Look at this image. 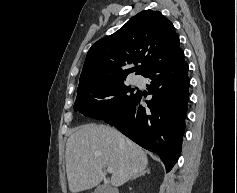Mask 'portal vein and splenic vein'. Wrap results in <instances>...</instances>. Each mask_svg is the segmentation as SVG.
I'll list each match as a JSON object with an SVG mask.
<instances>
[{
    "mask_svg": "<svg viewBox=\"0 0 237 193\" xmlns=\"http://www.w3.org/2000/svg\"><path fill=\"white\" fill-rule=\"evenodd\" d=\"M107 172H108V173H112V172H113V169H112L111 167H108V168H107Z\"/></svg>",
    "mask_w": 237,
    "mask_h": 193,
    "instance_id": "portal-vein-and-splenic-vein-1",
    "label": "portal vein and splenic vein"
}]
</instances>
